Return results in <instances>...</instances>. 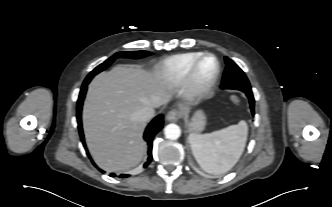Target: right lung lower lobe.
<instances>
[{
    "instance_id": "1",
    "label": "right lung lower lobe",
    "mask_w": 332,
    "mask_h": 207,
    "mask_svg": "<svg viewBox=\"0 0 332 207\" xmlns=\"http://www.w3.org/2000/svg\"><path fill=\"white\" fill-rule=\"evenodd\" d=\"M87 85L88 84L83 83L82 89L80 91V95H79V98H78V101H77L78 129H79V134H80L81 141H82V143H83L86 150H87V148H86L85 141H84V135H83V130H82V122H81V110H82L83 100H84L86 90H87ZM162 128H163V115H158L157 117H155L152 120V122L146 128V131H145V134H144V139L148 144V158H147L146 163L144 164V167H147L149 165V163L151 162V160H152V141H153L154 136L157 134V132L160 131ZM87 155L89 156L88 151H87ZM102 172H104V171H102ZM110 175L115 176V174H113V173L110 174ZM120 176L121 177H128L129 175L122 174Z\"/></svg>"
}]
</instances>
